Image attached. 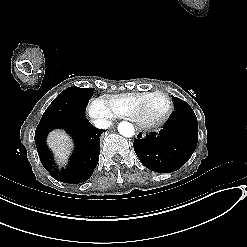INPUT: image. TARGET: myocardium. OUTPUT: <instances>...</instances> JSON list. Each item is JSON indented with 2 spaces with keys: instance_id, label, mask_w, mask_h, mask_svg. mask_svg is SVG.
Returning a JSON list of instances; mask_svg holds the SVG:
<instances>
[{
  "instance_id": "obj_1",
  "label": "myocardium",
  "mask_w": 247,
  "mask_h": 247,
  "mask_svg": "<svg viewBox=\"0 0 247 247\" xmlns=\"http://www.w3.org/2000/svg\"><path fill=\"white\" fill-rule=\"evenodd\" d=\"M155 97H162L164 99V104L158 110V112L152 113L149 109V105ZM171 105L172 101L167 94L161 91L150 92L147 95L145 101L142 102L137 109L140 115L142 126L144 128H152L161 124L169 116Z\"/></svg>"
}]
</instances>
